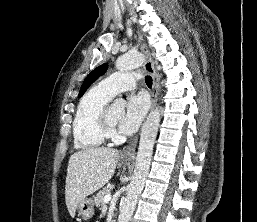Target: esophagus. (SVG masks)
Returning a JSON list of instances; mask_svg holds the SVG:
<instances>
[{
	"mask_svg": "<svg viewBox=\"0 0 257 222\" xmlns=\"http://www.w3.org/2000/svg\"><path fill=\"white\" fill-rule=\"evenodd\" d=\"M141 50L145 54L146 60L144 62V69L152 76L153 79V87L151 91V100H152V108H154L156 101H157V95H158V77L154 69V64L150 56V52L145 44L141 45ZM138 141V137H135L130 144L124 149L123 156L128 158H134L135 157V148Z\"/></svg>",
	"mask_w": 257,
	"mask_h": 222,
	"instance_id": "34e87169",
	"label": "esophagus"
}]
</instances>
